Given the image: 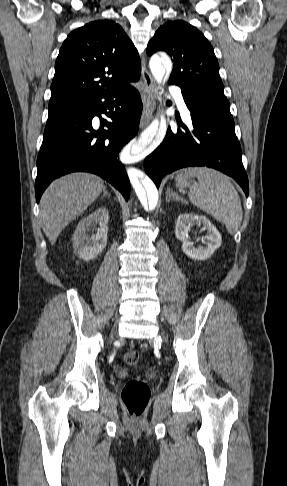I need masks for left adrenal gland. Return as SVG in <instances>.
<instances>
[{"label":"left adrenal gland","mask_w":287,"mask_h":486,"mask_svg":"<svg viewBox=\"0 0 287 486\" xmlns=\"http://www.w3.org/2000/svg\"><path fill=\"white\" fill-rule=\"evenodd\" d=\"M166 201H178L181 203H185L186 201L180 197L176 192H173L172 189L168 188L166 191Z\"/></svg>","instance_id":"a2214340"}]
</instances>
